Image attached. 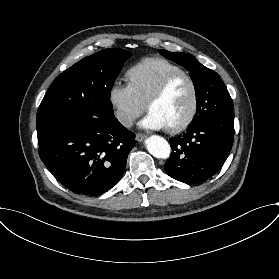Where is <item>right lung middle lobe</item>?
Segmentation results:
<instances>
[{"label":"right lung middle lobe","instance_id":"right-lung-middle-lobe-1","mask_svg":"<svg viewBox=\"0 0 279 279\" xmlns=\"http://www.w3.org/2000/svg\"><path fill=\"white\" fill-rule=\"evenodd\" d=\"M131 53L110 48L83 58L58 75L37 112L36 126L50 118L114 117L111 89Z\"/></svg>","mask_w":279,"mask_h":279}]
</instances>
